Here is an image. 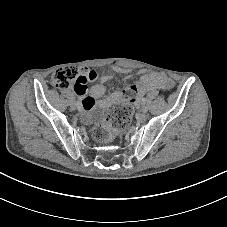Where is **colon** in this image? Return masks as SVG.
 Listing matches in <instances>:
<instances>
[{
    "mask_svg": "<svg viewBox=\"0 0 227 227\" xmlns=\"http://www.w3.org/2000/svg\"><path fill=\"white\" fill-rule=\"evenodd\" d=\"M80 79L79 71L72 66L59 68L53 75V83L60 89H66ZM140 86L141 84L128 87L124 92L119 107L108 119L94 128L93 135L99 143L103 145L111 144L117 132L129 124L132 115V103L139 94Z\"/></svg>",
    "mask_w": 227,
    "mask_h": 227,
    "instance_id": "1",
    "label": "colon"
}]
</instances>
